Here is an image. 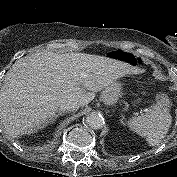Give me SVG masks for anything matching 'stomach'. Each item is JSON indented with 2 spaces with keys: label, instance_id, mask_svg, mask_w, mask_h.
<instances>
[{
  "label": "stomach",
  "instance_id": "1",
  "mask_svg": "<svg viewBox=\"0 0 177 177\" xmlns=\"http://www.w3.org/2000/svg\"><path fill=\"white\" fill-rule=\"evenodd\" d=\"M109 56L114 59L121 60L130 64L133 67H137L142 63V57L134 52L127 50H114L109 53ZM121 97V84L114 82L106 87L101 93V101L108 106L115 105Z\"/></svg>",
  "mask_w": 177,
  "mask_h": 177
}]
</instances>
